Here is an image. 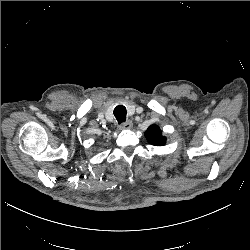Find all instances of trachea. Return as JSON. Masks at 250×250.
<instances>
[{
	"mask_svg": "<svg viewBox=\"0 0 250 250\" xmlns=\"http://www.w3.org/2000/svg\"><path fill=\"white\" fill-rule=\"evenodd\" d=\"M113 113L119 124L126 121V108L123 105L116 106Z\"/></svg>",
	"mask_w": 250,
	"mask_h": 250,
	"instance_id": "obj_1",
	"label": "trachea"
}]
</instances>
